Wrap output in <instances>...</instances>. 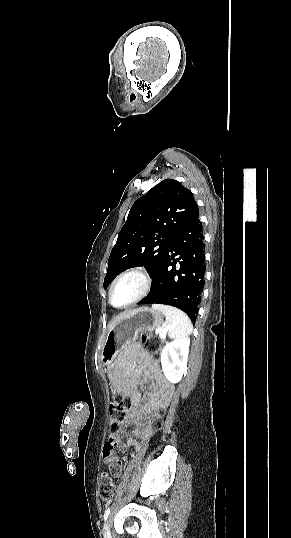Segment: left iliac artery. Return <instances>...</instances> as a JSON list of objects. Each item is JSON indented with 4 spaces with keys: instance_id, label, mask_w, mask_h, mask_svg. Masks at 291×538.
Returning <instances> with one entry per match:
<instances>
[{
    "instance_id": "44dca946",
    "label": "left iliac artery",
    "mask_w": 291,
    "mask_h": 538,
    "mask_svg": "<svg viewBox=\"0 0 291 538\" xmlns=\"http://www.w3.org/2000/svg\"><path fill=\"white\" fill-rule=\"evenodd\" d=\"M109 514H110V508H107V510H106L105 513H104V520H105V521L107 520Z\"/></svg>"
}]
</instances>
